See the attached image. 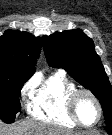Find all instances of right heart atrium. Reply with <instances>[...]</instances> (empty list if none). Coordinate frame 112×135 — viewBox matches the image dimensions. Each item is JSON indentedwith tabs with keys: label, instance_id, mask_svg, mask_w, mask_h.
Instances as JSON below:
<instances>
[{
	"label": "right heart atrium",
	"instance_id": "right-heart-atrium-1",
	"mask_svg": "<svg viewBox=\"0 0 112 135\" xmlns=\"http://www.w3.org/2000/svg\"><path fill=\"white\" fill-rule=\"evenodd\" d=\"M32 88H33V83L31 81L25 83L21 88V92H20L21 96L22 97L28 96L31 93Z\"/></svg>",
	"mask_w": 112,
	"mask_h": 135
}]
</instances>
